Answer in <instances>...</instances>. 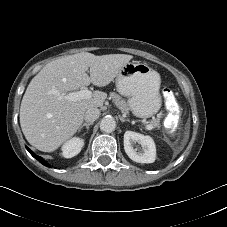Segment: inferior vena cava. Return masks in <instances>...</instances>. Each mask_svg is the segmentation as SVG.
Wrapping results in <instances>:
<instances>
[{
    "instance_id": "1",
    "label": "inferior vena cava",
    "mask_w": 227,
    "mask_h": 227,
    "mask_svg": "<svg viewBox=\"0 0 227 227\" xmlns=\"http://www.w3.org/2000/svg\"><path fill=\"white\" fill-rule=\"evenodd\" d=\"M100 116V110L98 108H89L84 115V119L87 123H93Z\"/></svg>"
}]
</instances>
